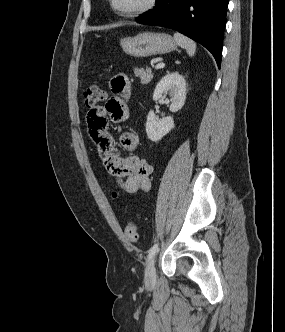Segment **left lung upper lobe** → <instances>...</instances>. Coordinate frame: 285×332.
Masks as SVG:
<instances>
[{
    "mask_svg": "<svg viewBox=\"0 0 285 332\" xmlns=\"http://www.w3.org/2000/svg\"><path fill=\"white\" fill-rule=\"evenodd\" d=\"M160 1H161V0H157V1H156V7H157V5L160 3Z\"/></svg>",
    "mask_w": 285,
    "mask_h": 332,
    "instance_id": "left-lung-upper-lobe-1",
    "label": "left lung upper lobe"
}]
</instances>
